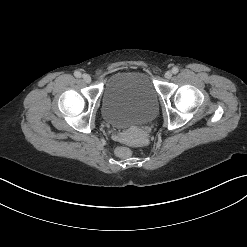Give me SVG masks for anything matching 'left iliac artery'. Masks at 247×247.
<instances>
[{
  "label": "left iliac artery",
  "mask_w": 247,
  "mask_h": 247,
  "mask_svg": "<svg viewBox=\"0 0 247 247\" xmlns=\"http://www.w3.org/2000/svg\"><path fill=\"white\" fill-rule=\"evenodd\" d=\"M178 71H179V69H178L177 67H173V68H172V72H173L174 74L178 73Z\"/></svg>",
  "instance_id": "1"
}]
</instances>
